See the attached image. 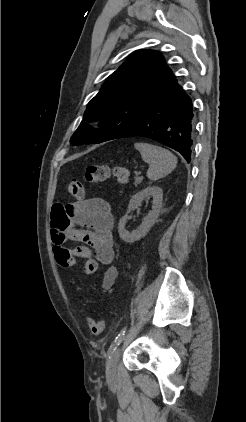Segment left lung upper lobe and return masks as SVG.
I'll return each mask as SVG.
<instances>
[{
	"label": "left lung upper lobe",
	"instance_id": "1",
	"mask_svg": "<svg viewBox=\"0 0 246 422\" xmlns=\"http://www.w3.org/2000/svg\"><path fill=\"white\" fill-rule=\"evenodd\" d=\"M174 79L160 53L133 52L87 105L83 119L86 122L102 119V126L94 129L82 121L70 142L98 144L118 138L147 112Z\"/></svg>",
	"mask_w": 246,
	"mask_h": 422
}]
</instances>
